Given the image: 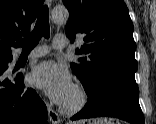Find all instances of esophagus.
I'll return each mask as SVG.
<instances>
[{"label": "esophagus", "instance_id": "1", "mask_svg": "<svg viewBox=\"0 0 156 124\" xmlns=\"http://www.w3.org/2000/svg\"><path fill=\"white\" fill-rule=\"evenodd\" d=\"M52 3V0H47V4L50 6ZM48 109V116L50 121L53 124H58L60 122V118L59 115L57 114V112L55 110H53L50 106H47Z\"/></svg>", "mask_w": 156, "mask_h": 124}]
</instances>
